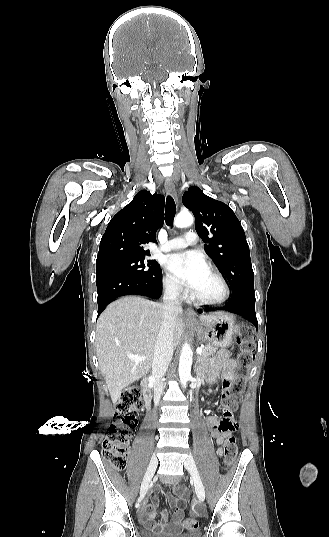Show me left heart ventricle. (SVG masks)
I'll return each mask as SVG.
<instances>
[{"instance_id": "b2bd125f", "label": "left heart ventricle", "mask_w": 329, "mask_h": 537, "mask_svg": "<svg viewBox=\"0 0 329 537\" xmlns=\"http://www.w3.org/2000/svg\"><path fill=\"white\" fill-rule=\"evenodd\" d=\"M194 294L204 298H215L221 294V286L217 279L207 270Z\"/></svg>"}]
</instances>
